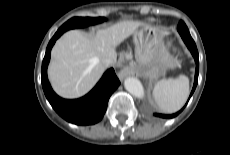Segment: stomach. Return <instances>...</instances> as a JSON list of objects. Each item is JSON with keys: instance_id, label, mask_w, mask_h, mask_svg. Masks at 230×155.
I'll return each instance as SVG.
<instances>
[{"instance_id": "obj_1", "label": "stomach", "mask_w": 230, "mask_h": 155, "mask_svg": "<svg viewBox=\"0 0 230 155\" xmlns=\"http://www.w3.org/2000/svg\"><path fill=\"white\" fill-rule=\"evenodd\" d=\"M166 35L167 30L165 28L143 24L133 36L138 61L157 63V76L161 75L166 68L175 67L179 64L177 58L169 53L164 42ZM155 79L156 77L152 79V83H155Z\"/></svg>"}]
</instances>
